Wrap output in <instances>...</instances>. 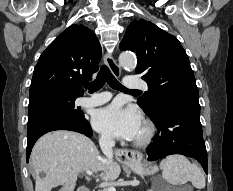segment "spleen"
Masks as SVG:
<instances>
[{
	"instance_id": "1",
	"label": "spleen",
	"mask_w": 233,
	"mask_h": 191,
	"mask_svg": "<svg viewBox=\"0 0 233 191\" xmlns=\"http://www.w3.org/2000/svg\"><path fill=\"white\" fill-rule=\"evenodd\" d=\"M163 178L173 186L191 182L197 189L205 187V177L196 164H192L185 156L170 155L160 163Z\"/></svg>"
}]
</instances>
